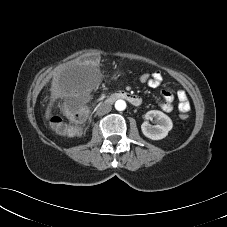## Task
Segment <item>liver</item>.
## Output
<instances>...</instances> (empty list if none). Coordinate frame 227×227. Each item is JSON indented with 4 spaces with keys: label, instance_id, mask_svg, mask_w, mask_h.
Returning a JSON list of instances; mask_svg holds the SVG:
<instances>
[{
    "label": "liver",
    "instance_id": "1",
    "mask_svg": "<svg viewBox=\"0 0 227 227\" xmlns=\"http://www.w3.org/2000/svg\"><path fill=\"white\" fill-rule=\"evenodd\" d=\"M93 69L94 68L89 66V64L73 61L67 63L59 70L51 82V102L45 112L46 119H48L51 115L53 102L57 98L68 97L69 95L75 93L79 83L88 73L92 72Z\"/></svg>",
    "mask_w": 227,
    "mask_h": 227
}]
</instances>
